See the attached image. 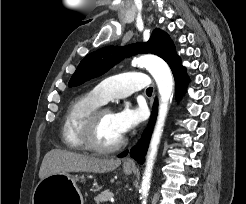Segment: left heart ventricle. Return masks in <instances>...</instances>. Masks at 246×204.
<instances>
[{
    "label": "left heart ventricle",
    "mask_w": 246,
    "mask_h": 204,
    "mask_svg": "<svg viewBox=\"0 0 246 204\" xmlns=\"http://www.w3.org/2000/svg\"><path fill=\"white\" fill-rule=\"evenodd\" d=\"M123 135L118 131L113 114L104 113L99 121L96 139L97 142L104 146H109L117 143Z\"/></svg>",
    "instance_id": "obj_1"
}]
</instances>
